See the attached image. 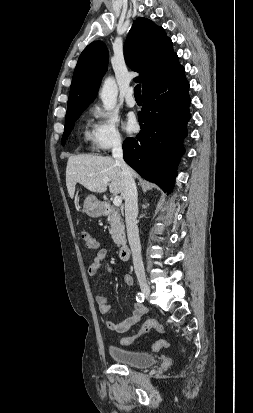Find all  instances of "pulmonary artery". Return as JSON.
Masks as SVG:
<instances>
[{"label":"pulmonary artery","mask_w":253,"mask_h":413,"mask_svg":"<svg viewBox=\"0 0 253 413\" xmlns=\"http://www.w3.org/2000/svg\"><path fill=\"white\" fill-rule=\"evenodd\" d=\"M134 90L133 88H129L125 97L126 104L128 107H134L136 105L135 98L133 96Z\"/></svg>","instance_id":"obj_1"}]
</instances>
